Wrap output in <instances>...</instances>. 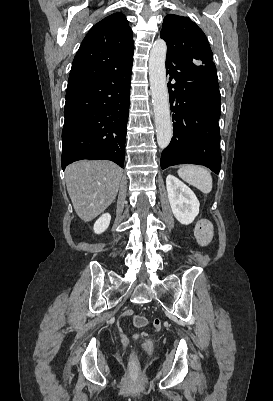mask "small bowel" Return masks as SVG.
<instances>
[{
    "instance_id": "c3829d8e",
    "label": "small bowel",
    "mask_w": 273,
    "mask_h": 401,
    "mask_svg": "<svg viewBox=\"0 0 273 401\" xmlns=\"http://www.w3.org/2000/svg\"><path fill=\"white\" fill-rule=\"evenodd\" d=\"M200 243H201V245H205L206 243H207V241H200ZM124 317L126 318V319H131L132 317H133V312L129 309V310H126L125 312H124ZM134 321H147V319L144 317V316H140V315H137V316H135V318H134ZM154 332L156 333V334H161L162 333V328H161V320L159 319V318H156L155 320H154ZM122 331V330H121ZM140 336L142 337V338H145L146 336H147V333L145 332V331H142L141 333H140Z\"/></svg>"
}]
</instances>
